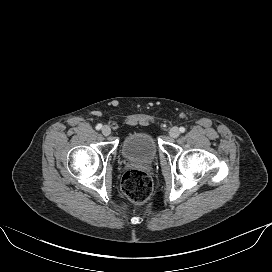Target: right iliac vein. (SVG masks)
<instances>
[{"mask_svg": "<svg viewBox=\"0 0 272 272\" xmlns=\"http://www.w3.org/2000/svg\"><path fill=\"white\" fill-rule=\"evenodd\" d=\"M110 133H111L110 127L106 126V125L103 126V128H102V134L105 135V136H108V135H110Z\"/></svg>", "mask_w": 272, "mask_h": 272, "instance_id": "1", "label": "right iliac vein"}]
</instances>
